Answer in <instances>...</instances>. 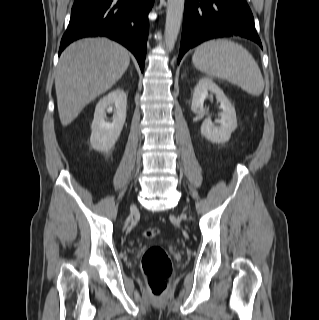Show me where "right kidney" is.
<instances>
[{
	"label": "right kidney",
	"instance_id": "right-kidney-1",
	"mask_svg": "<svg viewBox=\"0 0 319 320\" xmlns=\"http://www.w3.org/2000/svg\"><path fill=\"white\" fill-rule=\"evenodd\" d=\"M127 95L118 88L97 103L91 125L90 143L94 150L108 152L118 140L126 120ZM106 112L113 113L112 123L105 122Z\"/></svg>",
	"mask_w": 319,
	"mask_h": 320
}]
</instances>
